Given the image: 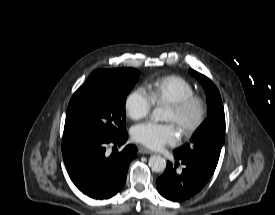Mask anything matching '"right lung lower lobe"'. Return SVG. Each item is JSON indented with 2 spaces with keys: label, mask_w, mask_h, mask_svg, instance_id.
I'll return each mask as SVG.
<instances>
[{
  "label": "right lung lower lobe",
  "mask_w": 275,
  "mask_h": 215,
  "mask_svg": "<svg viewBox=\"0 0 275 215\" xmlns=\"http://www.w3.org/2000/svg\"><path fill=\"white\" fill-rule=\"evenodd\" d=\"M127 132L111 139L77 137L63 139L62 155L75 186L94 199L110 198L126 182L127 170L137 148L127 145L121 152L106 153V146L123 145Z\"/></svg>",
  "instance_id": "1"
}]
</instances>
